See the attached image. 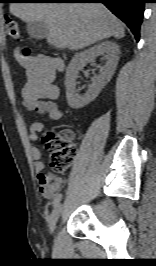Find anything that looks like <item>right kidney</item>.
Returning <instances> with one entry per match:
<instances>
[{
  "label": "right kidney",
  "instance_id": "1",
  "mask_svg": "<svg viewBox=\"0 0 156 266\" xmlns=\"http://www.w3.org/2000/svg\"><path fill=\"white\" fill-rule=\"evenodd\" d=\"M119 53V46L115 42L103 41L74 55L67 67L65 78L66 97L68 105L71 108L79 109L95 100L113 76L118 64ZM98 56H103L102 59L105 60V64L100 67L99 75L93 78L87 92L84 95H79L76 90V79L79 71H81L86 64L94 62Z\"/></svg>",
  "mask_w": 156,
  "mask_h": 266
}]
</instances>
